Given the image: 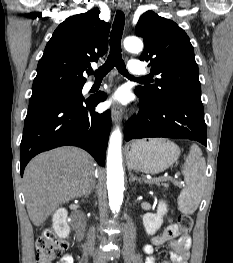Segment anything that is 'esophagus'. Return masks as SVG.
Instances as JSON below:
<instances>
[{
	"label": "esophagus",
	"instance_id": "esophagus-1",
	"mask_svg": "<svg viewBox=\"0 0 233 263\" xmlns=\"http://www.w3.org/2000/svg\"><path fill=\"white\" fill-rule=\"evenodd\" d=\"M119 8L125 13H129L130 6L127 1L120 0L119 2ZM111 115L113 121H118L122 117V108L119 105H113L111 108Z\"/></svg>",
	"mask_w": 233,
	"mask_h": 263
}]
</instances>
